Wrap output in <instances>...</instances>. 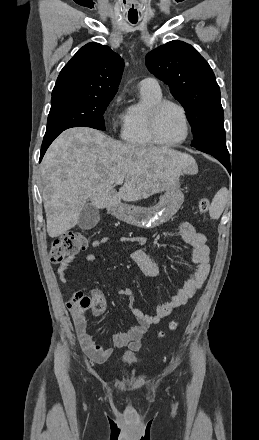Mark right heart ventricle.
<instances>
[{
    "label": "right heart ventricle",
    "mask_w": 259,
    "mask_h": 440,
    "mask_svg": "<svg viewBox=\"0 0 259 440\" xmlns=\"http://www.w3.org/2000/svg\"><path fill=\"white\" fill-rule=\"evenodd\" d=\"M139 103L130 105L124 114L121 137L129 145L149 148L155 145L148 129V113L150 108L162 99L160 94L141 92Z\"/></svg>",
    "instance_id": "1"
}]
</instances>
